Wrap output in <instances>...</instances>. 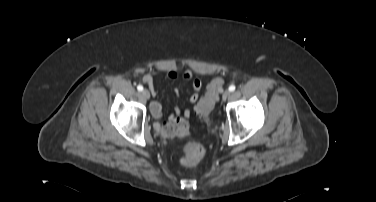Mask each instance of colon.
Returning a JSON list of instances; mask_svg holds the SVG:
<instances>
[{"label":"colon","mask_w":376,"mask_h":202,"mask_svg":"<svg viewBox=\"0 0 376 202\" xmlns=\"http://www.w3.org/2000/svg\"><path fill=\"white\" fill-rule=\"evenodd\" d=\"M223 86L224 80L220 77L213 79L208 84L204 98L196 107V111L202 117L203 121L207 119V116L216 103ZM186 130L187 125L185 122H175L165 125L162 132L165 136L172 137L175 135H183L186 133ZM205 153V147L201 143L188 142L183 147L182 163L186 166H194L204 158Z\"/></svg>","instance_id":"obj_1"}]
</instances>
